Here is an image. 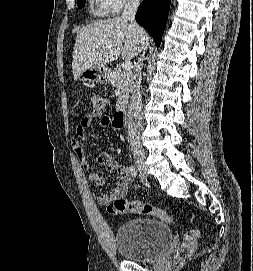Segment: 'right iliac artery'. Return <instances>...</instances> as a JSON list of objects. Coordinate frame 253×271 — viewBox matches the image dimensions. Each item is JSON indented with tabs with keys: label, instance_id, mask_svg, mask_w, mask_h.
I'll list each match as a JSON object with an SVG mask.
<instances>
[{
	"label": "right iliac artery",
	"instance_id": "82829eb1",
	"mask_svg": "<svg viewBox=\"0 0 253 271\" xmlns=\"http://www.w3.org/2000/svg\"><path fill=\"white\" fill-rule=\"evenodd\" d=\"M129 170H130V174H131L132 177H136L137 176V169H136L135 165H131L129 167Z\"/></svg>",
	"mask_w": 253,
	"mask_h": 271
}]
</instances>
